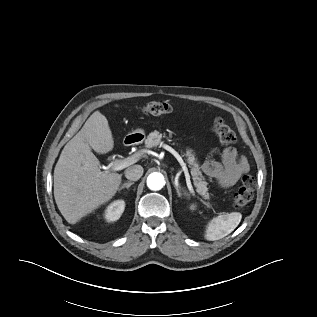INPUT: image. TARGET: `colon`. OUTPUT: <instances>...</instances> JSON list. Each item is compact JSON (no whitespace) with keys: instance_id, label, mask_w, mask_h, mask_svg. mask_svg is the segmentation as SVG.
<instances>
[{"instance_id":"obj_1","label":"colon","mask_w":317,"mask_h":317,"mask_svg":"<svg viewBox=\"0 0 317 317\" xmlns=\"http://www.w3.org/2000/svg\"><path fill=\"white\" fill-rule=\"evenodd\" d=\"M143 114L146 115H163L170 111V105L161 100L151 101L146 103L142 109ZM213 131L224 144H233L236 141L235 133L222 120L216 119L213 123ZM255 181L251 174H245L242 178V187L235 192L233 196V205L235 208H242L246 206L253 199Z\"/></svg>"}]
</instances>
